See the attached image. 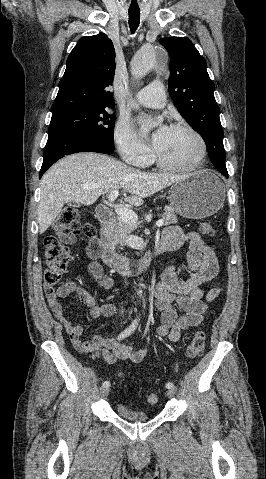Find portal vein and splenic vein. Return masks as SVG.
Here are the masks:
<instances>
[{"mask_svg":"<svg viewBox=\"0 0 266 479\" xmlns=\"http://www.w3.org/2000/svg\"><path fill=\"white\" fill-rule=\"evenodd\" d=\"M118 195H119L118 190L111 191L108 195L109 202H114L115 199L118 197ZM115 212L125 222H127V223H129L133 226H136L138 224V216L132 210H130L128 208H125V207H122V206H117L115 208ZM163 224H164V220H158L156 222L157 227H161V226H163Z\"/></svg>","mask_w":266,"mask_h":479,"instance_id":"obj_1","label":"portal vein and splenic vein"}]
</instances>
